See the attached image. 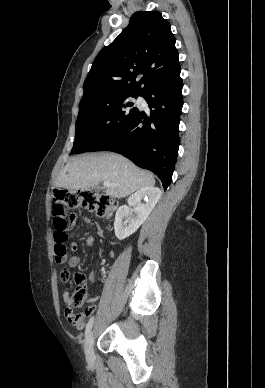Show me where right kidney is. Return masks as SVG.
<instances>
[{"label":"right kidney","instance_id":"obj_1","mask_svg":"<svg viewBox=\"0 0 265 388\" xmlns=\"http://www.w3.org/2000/svg\"><path fill=\"white\" fill-rule=\"evenodd\" d=\"M160 196L161 190L159 188H153V186L140 188L138 192L130 196L128 204L129 206H135V208L134 210H131L128 206H120L118 208L114 222L116 238L118 240H125L131 234H134L144 224L145 220H147ZM141 200H145V204H142ZM132 212H135V214H132Z\"/></svg>","mask_w":265,"mask_h":388}]
</instances>
